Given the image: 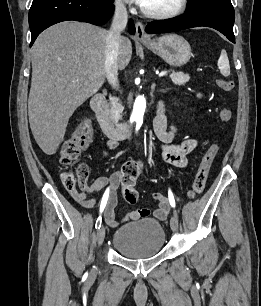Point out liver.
<instances>
[{"instance_id": "obj_1", "label": "liver", "mask_w": 261, "mask_h": 306, "mask_svg": "<svg viewBox=\"0 0 261 306\" xmlns=\"http://www.w3.org/2000/svg\"><path fill=\"white\" fill-rule=\"evenodd\" d=\"M107 31L88 23L64 21L43 31L32 50L28 116L41 150L53 155L74 111L105 82ZM132 44L121 37L117 64L124 70Z\"/></svg>"}]
</instances>
